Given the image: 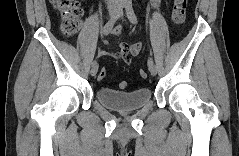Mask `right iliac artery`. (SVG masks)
Segmentation results:
<instances>
[{
    "mask_svg": "<svg viewBox=\"0 0 239 156\" xmlns=\"http://www.w3.org/2000/svg\"><path fill=\"white\" fill-rule=\"evenodd\" d=\"M124 6H125L124 3H119L117 5V8H116V11H115L114 15L111 17V19L103 27V34L104 35H108L111 32L117 18L120 16V13L123 11ZM95 64H97L96 60H94L92 62V65H95Z\"/></svg>",
    "mask_w": 239,
    "mask_h": 156,
    "instance_id": "82829eb1",
    "label": "right iliac artery"
}]
</instances>
